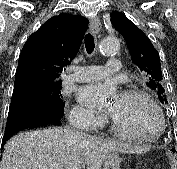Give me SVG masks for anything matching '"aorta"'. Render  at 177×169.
<instances>
[{
    "mask_svg": "<svg viewBox=\"0 0 177 169\" xmlns=\"http://www.w3.org/2000/svg\"><path fill=\"white\" fill-rule=\"evenodd\" d=\"M119 50V41L116 37L110 36L104 38L100 43V52L103 55H114Z\"/></svg>",
    "mask_w": 177,
    "mask_h": 169,
    "instance_id": "1",
    "label": "aorta"
}]
</instances>
